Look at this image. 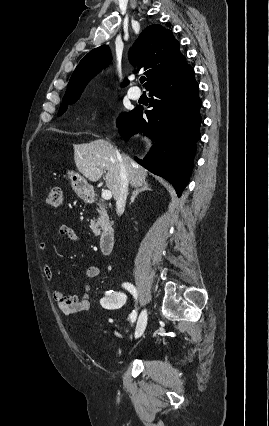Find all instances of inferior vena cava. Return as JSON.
Returning <instances> with one entry per match:
<instances>
[{
    "mask_svg": "<svg viewBox=\"0 0 269 426\" xmlns=\"http://www.w3.org/2000/svg\"><path fill=\"white\" fill-rule=\"evenodd\" d=\"M118 159H119V166H120V171H119V184H118V193L116 196V211L119 215H121L125 209V205H126V199H127V195H128V185H129V181H128V177H127V171L126 168L123 164L122 161V157L121 155L118 153Z\"/></svg>",
    "mask_w": 269,
    "mask_h": 426,
    "instance_id": "obj_1",
    "label": "inferior vena cava"
}]
</instances>
